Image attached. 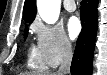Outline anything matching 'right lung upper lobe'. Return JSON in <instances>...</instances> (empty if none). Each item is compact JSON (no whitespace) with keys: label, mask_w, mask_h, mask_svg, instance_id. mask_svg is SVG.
<instances>
[{"label":"right lung upper lobe","mask_w":107,"mask_h":75,"mask_svg":"<svg viewBox=\"0 0 107 75\" xmlns=\"http://www.w3.org/2000/svg\"><path fill=\"white\" fill-rule=\"evenodd\" d=\"M36 15V1L35 0H25L23 8V17L25 22L32 23Z\"/></svg>","instance_id":"1"}]
</instances>
